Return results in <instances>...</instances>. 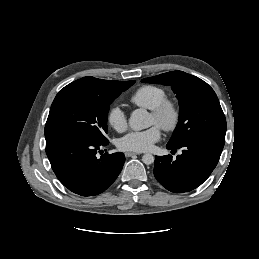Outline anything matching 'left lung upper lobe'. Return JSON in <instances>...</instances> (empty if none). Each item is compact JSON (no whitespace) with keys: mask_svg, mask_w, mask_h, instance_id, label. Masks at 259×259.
Returning <instances> with one entry per match:
<instances>
[{"mask_svg":"<svg viewBox=\"0 0 259 259\" xmlns=\"http://www.w3.org/2000/svg\"><path fill=\"white\" fill-rule=\"evenodd\" d=\"M142 82L170 85L179 100V123L167 145L179 148L187 140L206 134L225 137L226 119L219 100L200 78L172 71L145 78Z\"/></svg>","mask_w":259,"mask_h":259,"instance_id":"1","label":"left lung upper lobe"}]
</instances>
